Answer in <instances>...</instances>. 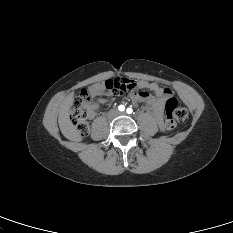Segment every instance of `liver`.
<instances>
[{
    "label": "liver",
    "mask_w": 233,
    "mask_h": 233,
    "mask_svg": "<svg viewBox=\"0 0 233 233\" xmlns=\"http://www.w3.org/2000/svg\"><path fill=\"white\" fill-rule=\"evenodd\" d=\"M74 94L67 95L59 106L58 124L62 134L66 138H71L75 128L70 121L69 111L73 103Z\"/></svg>",
    "instance_id": "6515ba94"
}]
</instances>
